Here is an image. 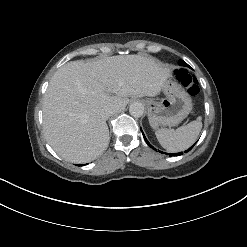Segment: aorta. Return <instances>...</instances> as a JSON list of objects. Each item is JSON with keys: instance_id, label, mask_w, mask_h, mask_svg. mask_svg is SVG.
Returning a JSON list of instances; mask_svg holds the SVG:
<instances>
[{"instance_id": "762f6f07", "label": "aorta", "mask_w": 247, "mask_h": 247, "mask_svg": "<svg viewBox=\"0 0 247 247\" xmlns=\"http://www.w3.org/2000/svg\"><path fill=\"white\" fill-rule=\"evenodd\" d=\"M129 112L133 117H141L144 113V106L140 102H134L129 107Z\"/></svg>"}]
</instances>
